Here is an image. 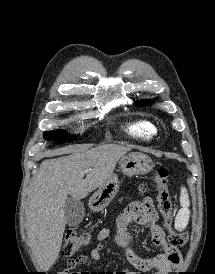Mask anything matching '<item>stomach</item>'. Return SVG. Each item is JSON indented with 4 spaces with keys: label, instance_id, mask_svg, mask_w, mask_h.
I'll return each instance as SVG.
<instances>
[{
    "label": "stomach",
    "instance_id": "stomach-1",
    "mask_svg": "<svg viewBox=\"0 0 215 274\" xmlns=\"http://www.w3.org/2000/svg\"><path fill=\"white\" fill-rule=\"evenodd\" d=\"M124 175L134 176L147 174L153 168V162L146 154L134 152L124 155L119 162ZM120 182L116 174L99 187L92 195L89 206L93 211L103 210L119 191Z\"/></svg>",
    "mask_w": 215,
    "mask_h": 274
}]
</instances>
